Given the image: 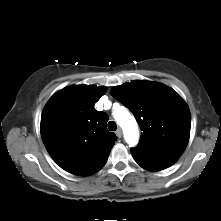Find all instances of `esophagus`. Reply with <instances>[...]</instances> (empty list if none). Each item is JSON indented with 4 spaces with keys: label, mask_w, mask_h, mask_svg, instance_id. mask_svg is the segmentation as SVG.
Segmentation results:
<instances>
[{
    "label": "esophagus",
    "mask_w": 221,
    "mask_h": 221,
    "mask_svg": "<svg viewBox=\"0 0 221 221\" xmlns=\"http://www.w3.org/2000/svg\"><path fill=\"white\" fill-rule=\"evenodd\" d=\"M116 136L120 139L122 137V130L119 128L116 131Z\"/></svg>",
    "instance_id": "obj_1"
}]
</instances>
